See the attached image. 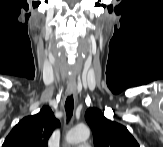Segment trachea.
<instances>
[{
	"instance_id": "1",
	"label": "trachea",
	"mask_w": 163,
	"mask_h": 147,
	"mask_svg": "<svg viewBox=\"0 0 163 147\" xmlns=\"http://www.w3.org/2000/svg\"><path fill=\"white\" fill-rule=\"evenodd\" d=\"M73 107H74L73 95H70L67 97L65 102V111L68 119L71 118L73 114Z\"/></svg>"
}]
</instances>
